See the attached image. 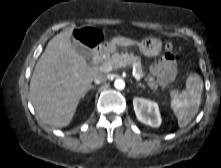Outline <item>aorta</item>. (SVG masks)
<instances>
[{"instance_id":"obj_1","label":"aorta","mask_w":221,"mask_h":168,"mask_svg":"<svg viewBox=\"0 0 221 168\" xmlns=\"http://www.w3.org/2000/svg\"><path fill=\"white\" fill-rule=\"evenodd\" d=\"M114 86L118 90H123L125 88V82L122 79H116Z\"/></svg>"}]
</instances>
